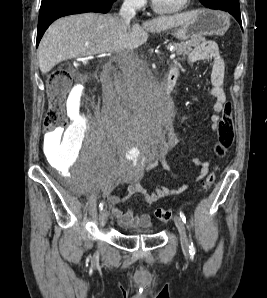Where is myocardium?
<instances>
[{
  "label": "myocardium",
  "mask_w": 267,
  "mask_h": 298,
  "mask_svg": "<svg viewBox=\"0 0 267 298\" xmlns=\"http://www.w3.org/2000/svg\"><path fill=\"white\" fill-rule=\"evenodd\" d=\"M191 3V0H184L183 4L175 9V10H163L155 3L154 0H152L151 5L154 12L161 14V15H176L182 13L184 10H186Z\"/></svg>",
  "instance_id": "myocardium-1"
}]
</instances>
